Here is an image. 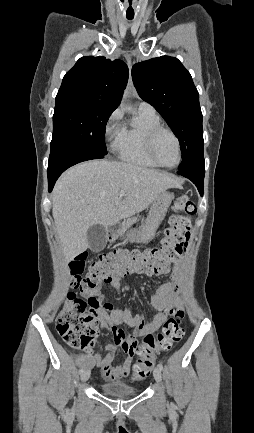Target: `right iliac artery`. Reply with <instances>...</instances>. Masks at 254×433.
<instances>
[{"label": "right iliac artery", "mask_w": 254, "mask_h": 433, "mask_svg": "<svg viewBox=\"0 0 254 433\" xmlns=\"http://www.w3.org/2000/svg\"><path fill=\"white\" fill-rule=\"evenodd\" d=\"M82 372H83V368H80L79 373H82Z\"/></svg>", "instance_id": "82829eb1"}]
</instances>
